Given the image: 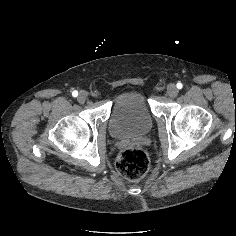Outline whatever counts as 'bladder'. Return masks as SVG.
Wrapping results in <instances>:
<instances>
[{
    "instance_id": "1",
    "label": "bladder",
    "mask_w": 236,
    "mask_h": 236,
    "mask_svg": "<svg viewBox=\"0 0 236 236\" xmlns=\"http://www.w3.org/2000/svg\"><path fill=\"white\" fill-rule=\"evenodd\" d=\"M153 125L152 108L142 89H124L113 99L108 120V131L113 138L144 136Z\"/></svg>"
}]
</instances>
